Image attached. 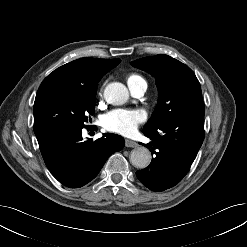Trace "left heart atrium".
I'll list each match as a JSON object with an SVG mask.
<instances>
[{"label": "left heart atrium", "mask_w": 247, "mask_h": 247, "mask_svg": "<svg viewBox=\"0 0 247 247\" xmlns=\"http://www.w3.org/2000/svg\"><path fill=\"white\" fill-rule=\"evenodd\" d=\"M144 120L145 114L140 110L116 109L103 116L102 126L108 131L129 135Z\"/></svg>", "instance_id": "39dd6f15"}]
</instances>
